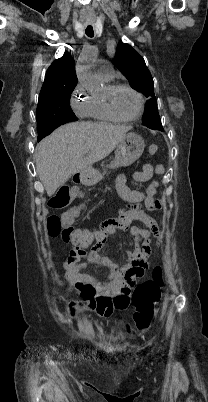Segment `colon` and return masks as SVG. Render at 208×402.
<instances>
[{
    "instance_id": "1",
    "label": "colon",
    "mask_w": 208,
    "mask_h": 402,
    "mask_svg": "<svg viewBox=\"0 0 208 402\" xmlns=\"http://www.w3.org/2000/svg\"><path fill=\"white\" fill-rule=\"evenodd\" d=\"M157 151L158 147L156 144H149L147 146L146 152L148 157L153 158ZM74 217V211H67L59 216H54L47 220V227L51 237H60L65 242L73 241L72 244L74 248L71 250V253L66 254L68 263L80 262V256L86 253L85 249L92 243L94 244V240L99 236V228L96 229L93 235L86 232H76L72 230ZM123 219L124 216L122 212L121 218L118 220H109L105 222L120 223ZM50 253L51 255L56 256L58 255L59 250L58 248L53 247L51 248ZM162 285L163 269L161 266H156L153 273V279L146 280L135 288L132 296V303L135 306V312L133 325H127L129 331H144L149 327L154 317L155 305L161 300ZM64 299L70 300L71 305L77 304V299L71 298L70 293H65ZM119 305L120 303L117 301L116 297L113 296H96L88 303L89 308L100 315L112 314L114 312V307Z\"/></svg>"
}]
</instances>
